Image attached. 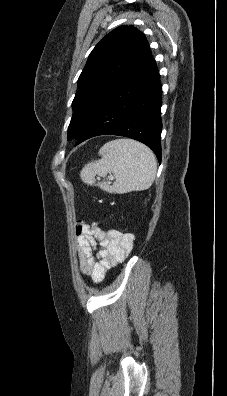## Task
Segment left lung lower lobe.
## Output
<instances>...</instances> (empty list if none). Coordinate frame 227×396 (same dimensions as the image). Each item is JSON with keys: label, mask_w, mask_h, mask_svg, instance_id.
<instances>
[{"label": "left lung lower lobe", "mask_w": 227, "mask_h": 396, "mask_svg": "<svg viewBox=\"0 0 227 396\" xmlns=\"http://www.w3.org/2000/svg\"><path fill=\"white\" fill-rule=\"evenodd\" d=\"M162 86L150 54L98 105L76 145L99 135L111 134L138 140L161 162Z\"/></svg>", "instance_id": "left-lung-lower-lobe-1"}]
</instances>
